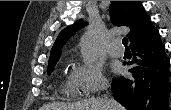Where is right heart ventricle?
<instances>
[{
  "label": "right heart ventricle",
  "instance_id": "e07e8e85",
  "mask_svg": "<svg viewBox=\"0 0 171 110\" xmlns=\"http://www.w3.org/2000/svg\"><path fill=\"white\" fill-rule=\"evenodd\" d=\"M62 92L72 97H76L81 93L78 84L74 81L71 75L63 83Z\"/></svg>",
  "mask_w": 171,
  "mask_h": 110
}]
</instances>
